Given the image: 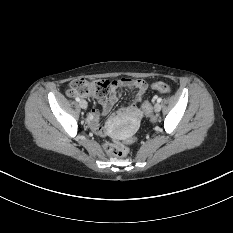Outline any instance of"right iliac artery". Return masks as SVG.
<instances>
[{
  "label": "right iliac artery",
  "mask_w": 233,
  "mask_h": 233,
  "mask_svg": "<svg viewBox=\"0 0 233 233\" xmlns=\"http://www.w3.org/2000/svg\"><path fill=\"white\" fill-rule=\"evenodd\" d=\"M75 100L79 102V101H80V98H79V97H76Z\"/></svg>",
  "instance_id": "obj_1"
}]
</instances>
